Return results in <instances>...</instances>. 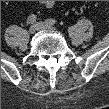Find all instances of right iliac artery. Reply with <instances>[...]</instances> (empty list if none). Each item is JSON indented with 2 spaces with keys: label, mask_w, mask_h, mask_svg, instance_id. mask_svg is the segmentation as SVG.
<instances>
[{
  "label": "right iliac artery",
  "mask_w": 109,
  "mask_h": 109,
  "mask_svg": "<svg viewBox=\"0 0 109 109\" xmlns=\"http://www.w3.org/2000/svg\"><path fill=\"white\" fill-rule=\"evenodd\" d=\"M36 15L32 14V15H29L28 19H27V23L28 24H33L34 22H36Z\"/></svg>",
  "instance_id": "right-iliac-artery-1"
}]
</instances>
